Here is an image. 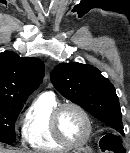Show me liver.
Instances as JSON below:
<instances>
[{"instance_id": "6515ba94", "label": "liver", "mask_w": 130, "mask_h": 153, "mask_svg": "<svg viewBox=\"0 0 130 153\" xmlns=\"http://www.w3.org/2000/svg\"><path fill=\"white\" fill-rule=\"evenodd\" d=\"M0 153H22V152L4 149L2 146H0ZM29 153H32V152H29Z\"/></svg>"}]
</instances>
